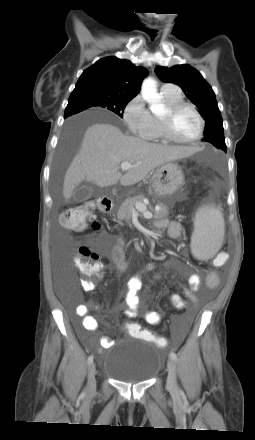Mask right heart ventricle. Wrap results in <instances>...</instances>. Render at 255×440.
Wrapping results in <instances>:
<instances>
[{"instance_id":"e07e8e85","label":"right heart ventricle","mask_w":255,"mask_h":440,"mask_svg":"<svg viewBox=\"0 0 255 440\" xmlns=\"http://www.w3.org/2000/svg\"><path fill=\"white\" fill-rule=\"evenodd\" d=\"M163 96V100L167 106L175 105L177 103L183 102L182 94L178 91L173 92H161ZM154 118V117H153ZM149 140H158L163 139V133L160 125V121L157 118H154V129L151 134L145 137Z\"/></svg>"}]
</instances>
